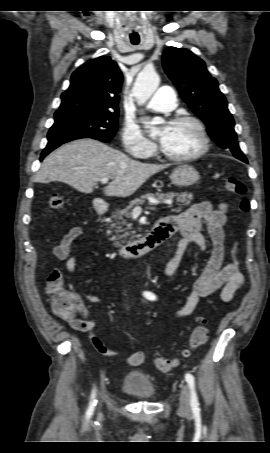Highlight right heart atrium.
<instances>
[{
    "label": "right heart atrium",
    "instance_id": "d8ad5b80",
    "mask_svg": "<svg viewBox=\"0 0 270 453\" xmlns=\"http://www.w3.org/2000/svg\"><path fill=\"white\" fill-rule=\"evenodd\" d=\"M122 143L125 151L134 157H148L155 151V145L132 122L126 123L122 129Z\"/></svg>",
    "mask_w": 270,
    "mask_h": 453
}]
</instances>
